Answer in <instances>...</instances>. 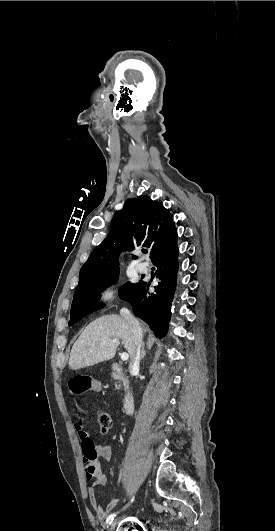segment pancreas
Returning a JSON list of instances; mask_svg holds the SVG:
<instances>
[{"label":"pancreas","instance_id":"pancreas-1","mask_svg":"<svg viewBox=\"0 0 275 531\" xmlns=\"http://www.w3.org/2000/svg\"><path fill=\"white\" fill-rule=\"evenodd\" d=\"M112 379H115L119 385H115V387H122V385H127L128 379H124V377H121V375H118V373H115V371H112L111 373Z\"/></svg>","mask_w":275,"mask_h":531}]
</instances>
